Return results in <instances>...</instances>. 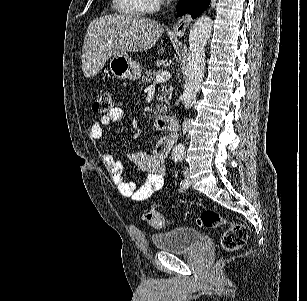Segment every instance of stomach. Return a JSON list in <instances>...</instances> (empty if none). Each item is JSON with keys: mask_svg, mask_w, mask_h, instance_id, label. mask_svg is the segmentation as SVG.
<instances>
[{"mask_svg": "<svg viewBox=\"0 0 307 301\" xmlns=\"http://www.w3.org/2000/svg\"><path fill=\"white\" fill-rule=\"evenodd\" d=\"M109 68L117 78H129L138 80L141 76L142 68L140 62L133 60L127 52L125 54H113L110 58Z\"/></svg>", "mask_w": 307, "mask_h": 301, "instance_id": "obj_1", "label": "stomach"}]
</instances>
